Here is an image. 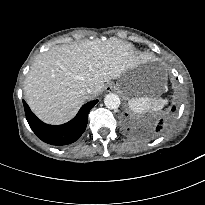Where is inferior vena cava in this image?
Returning <instances> with one entry per match:
<instances>
[{"label": "inferior vena cava", "mask_w": 205, "mask_h": 205, "mask_svg": "<svg viewBox=\"0 0 205 205\" xmlns=\"http://www.w3.org/2000/svg\"><path fill=\"white\" fill-rule=\"evenodd\" d=\"M87 93H88V94H91V93H92V90H91L90 88H88V89H87Z\"/></svg>", "instance_id": "inferior-vena-cava-1"}]
</instances>
